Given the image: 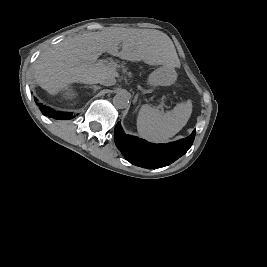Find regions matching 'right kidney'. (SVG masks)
<instances>
[{"label":"right kidney","mask_w":267,"mask_h":267,"mask_svg":"<svg viewBox=\"0 0 267 267\" xmlns=\"http://www.w3.org/2000/svg\"><path fill=\"white\" fill-rule=\"evenodd\" d=\"M77 96V93L71 87H66L62 92V97L66 100L73 99Z\"/></svg>","instance_id":"ca27d5eb"}]
</instances>
